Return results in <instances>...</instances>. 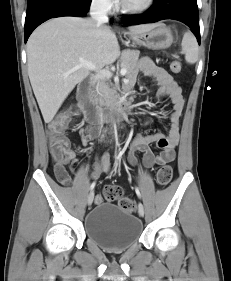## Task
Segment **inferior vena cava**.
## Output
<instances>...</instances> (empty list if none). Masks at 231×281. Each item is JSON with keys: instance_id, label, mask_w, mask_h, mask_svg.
I'll list each match as a JSON object with an SVG mask.
<instances>
[{"instance_id": "inferior-vena-cava-1", "label": "inferior vena cava", "mask_w": 231, "mask_h": 281, "mask_svg": "<svg viewBox=\"0 0 231 281\" xmlns=\"http://www.w3.org/2000/svg\"><path fill=\"white\" fill-rule=\"evenodd\" d=\"M109 0H92L91 6H90V16L91 19L97 24V25H104L108 22L107 12L109 9ZM99 79L100 75L96 74L93 76V82H97V90L99 86ZM99 117L100 121L102 123V110L99 108Z\"/></svg>"}]
</instances>
